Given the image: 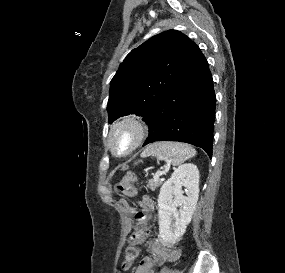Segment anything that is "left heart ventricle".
I'll use <instances>...</instances> for the list:
<instances>
[{
  "label": "left heart ventricle",
  "instance_id": "1",
  "mask_svg": "<svg viewBox=\"0 0 285 273\" xmlns=\"http://www.w3.org/2000/svg\"><path fill=\"white\" fill-rule=\"evenodd\" d=\"M133 138V131L130 127L124 126L122 127L114 137V146L118 152L125 151Z\"/></svg>",
  "mask_w": 285,
  "mask_h": 273
}]
</instances>
